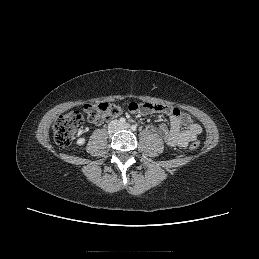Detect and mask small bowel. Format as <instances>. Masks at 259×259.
<instances>
[{"mask_svg":"<svg viewBox=\"0 0 259 259\" xmlns=\"http://www.w3.org/2000/svg\"><path fill=\"white\" fill-rule=\"evenodd\" d=\"M130 112L163 113L169 117L170 127L165 125L151 126L171 147H185L190 141L195 140L202 132V127L192 118L175 107L147 103L145 100L131 102L128 105Z\"/></svg>","mask_w":259,"mask_h":259,"instance_id":"small-bowel-1","label":"small bowel"}]
</instances>
